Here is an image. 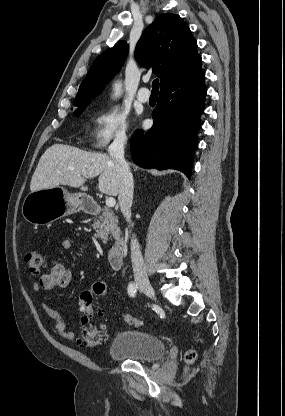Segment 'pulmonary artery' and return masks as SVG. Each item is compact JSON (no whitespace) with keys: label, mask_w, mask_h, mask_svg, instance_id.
<instances>
[{"label":"pulmonary artery","mask_w":285,"mask_h":416,"mask_svg":"<svg viewBox=\"0 0 285 416\" xmlns=\"http://www.w3.org/2000/svg\"><path fill=\"white\" fill-rule=\"evenodd\" d=\"M137 98L141 102H148L150 99L149 89L147 87H140L138 89Z\"/></svg>","instance_id":"e3ab8cb5"}]
</instances>
